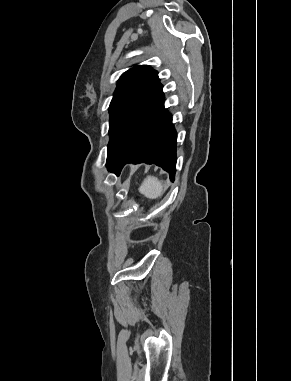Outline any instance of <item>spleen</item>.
Segmentation results:
<instances>
[{
    "instance_id": "spleen-1",
    "label": "spleen",
    "mask_w": 291,
    "mask_h": 381,
    "mask_svg": "<svg viewBox=\"0 0 291 381\" xmlns=\"http://www.w3.org/2000/svg\"><path fill=\"white\" fill-rule=\"evenodd\" d=\"M138 190L149 199H157L163 192V183L157 177L147 176Z\"/></svg>"
}]
</instances>
